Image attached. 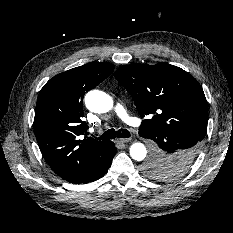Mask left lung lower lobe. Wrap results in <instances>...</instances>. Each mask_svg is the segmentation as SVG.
Masks as SVG:
<instances>
[{"label": "left lung lower lobe", "mask_w": 233, "mask_h": 233, "mask_svg": "<svg viewBox=\"0 0 233 233\" xmlns=\"http://www.w3.org/2000/svg\"><path fill=\"white\" fill-rule=\"evenodd\" d=\"M139 135L155 142L154 157H160L174 167L173 170L162 172L159 178H156L161 180L183 175L196 159L201 146L196 135L179 130H154L139 132Z\"/></svg>", "instance_id": "obj_1"}]
</instances>
